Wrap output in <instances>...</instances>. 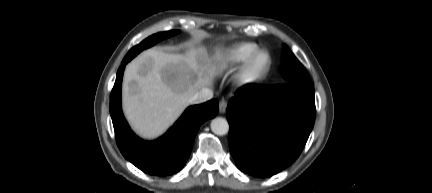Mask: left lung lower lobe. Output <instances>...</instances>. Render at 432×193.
<instances>
[{"instance_id":"0a47b994","label":"left lung lower lobe","mask_w":432,"mask_h":193,"mask_svg":"<svg viewBox=\"0 0 432 193\" xmlns=\"http://www.w3.org/2000/svg\"><path fill=\"white\" fill-rule=\"evenodd\" d=\"M310 83L251 85L237 90L227 107L229 147L237 167L270 177L293 163L315 121Z\"/></svg>"}]
</instances>
